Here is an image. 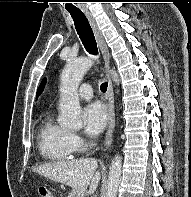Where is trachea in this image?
Here are the masks:
<instances>
[{
  "label": "trachea",
  "instance_id": "1",
  "mask_svg": "<svg viewBox=\"0 0 191 197\" xmlns=\"http://www.w3.org/2000/svg\"><path fill=\"white\" fill-rule=\"evenodd\" d=\"M70 14L74 20L76 31L86 51L92 55H97L98 54L97 43L87 18L84 16L83 13H79V12H70ZM107 86L108 83L106 82L102 83L100 86V90L103 93H105L107 90Z\"/></svg>",
  "mask_w": 191,
  "mask_h": 197
}]
</instances>
